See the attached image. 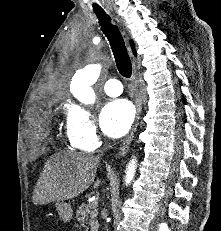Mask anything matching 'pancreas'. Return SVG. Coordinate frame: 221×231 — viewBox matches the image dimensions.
<instances>
[{"label":"pancreas","instance_id":"obj_1","mask_svg":"<svg viewBox=\"0 0 221 231\" xmlns=\"http://www.w3.org/2000/svg\"><path fill=\"white\" fill-rule=\"evenodd\" d=\"M98 211L96 207H90L86 204H81L76 211L77 221L81 223L82 227H85V231H98L99 224L96 219Z\"/></svg>","mask_w":221,"mask_h":231}]
</instances>
